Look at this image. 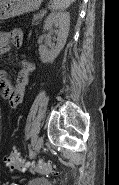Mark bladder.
Here are the masks:
<instances>
[{"mask_svg":"<svg viewBox=\"0 0 119 185\" xmlns=\"http://www.w3.org/2000/svg\"><path fill=\"white\" fill-rule=\"evenodd\" d=\"M28 185H53L52 182L44 178H36L29 181Z\"/></svg>","mask_w":119,"mask_h":185,"instance_id":"obj_1","label":"bladder"}]
</instances>
